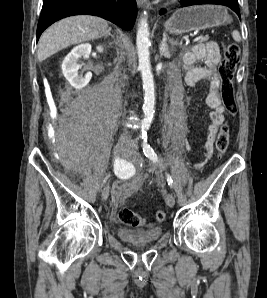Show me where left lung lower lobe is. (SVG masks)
<instances>
[{
    "mask_svg": "<svg viewBox=\"0 0 267 298\" xmlns=\"http://www.w3.org/2000/svg\"><path fill=\"white\" fill-rule=\"evenodd\" d=\"M182 7L185 6H191V5H197V4H219V5H225L231 8L233 11L236 12V14L240 18V11L238 6L237 0H181ZM165 11H161L160 15L164 14Z\"/></svg>",
    "mask_w": 267,
    "mask_h": 298,
    "instance_id": "0a47b994",
    "label": "left lung lower lobe"
}]
</instances>
